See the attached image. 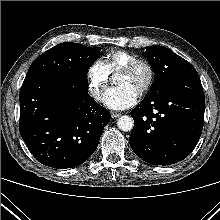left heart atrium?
<instances>
[{
	"mask_svg": "<svg viewBox=\"0 0 220 220\" xmlns=\"http://www.w3.org/2000/svg\"><path fill=\"white\" fill-rule=\"evenodd\" d=\"M138 92L129 85H119L110 88L103 96V103L110 109L123 110L134 105Z\"/></svg>",
	"mask_w": 220,
	"mask_h": 220,
	"instance_id": "obj_1",
	"label": "left heart atrium"
}]
</instances>
